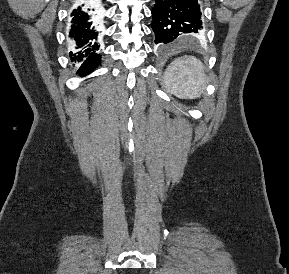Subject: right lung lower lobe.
Instances as JSON below:
<instances>
[{
	"mask_svg": "<svg viewBox=\"0 0 289 274\" xmlns=\"http://www.w3.org/2000/svg\"><path fill=\"white\" fill-rule=\"evenodd\" d=\"M91 0H76L71 13L70 37L76 43L77 53L70 52L71 61L82 62L81 74H88L100 63L98 34L101 17L99 12L90 6Z\"/></svg>",
	"mask_w": 289,
	"mask_h": 274,
	"instance_id": "obj_1",
	"label": "right lung lower lobe"
}]
</instances>
